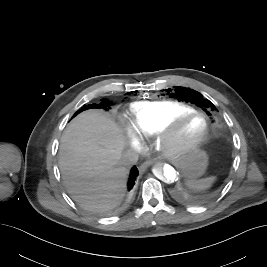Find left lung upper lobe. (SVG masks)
Wrapping results in <instances>:
<instances>
[{"label": "left lung upper lobe", "mask_w": 267, "mask_h": 267, "mask_svg": "<svg viewBox=\"0 0 267 267\" xmlns=\"http://www.w3.org/2000/svg\"><path fill=\"white\" fill-rule=\"evenodd\" d=\"M168 95L177 98L179 101H190L198 106H203L207 109V112L215 109V106L209 100L205 99L202 94L190 88L177 86L174 90H168Z\"/></svg>", "instance_id": "1"}]
</instances>
